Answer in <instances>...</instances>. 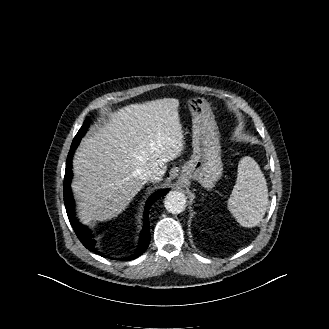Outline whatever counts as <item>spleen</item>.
<instances>
[{
    "instance_id": "spleen-1",
    "label": "spleen",
    "mask_w": 329,
    "mask_h": 329,
    "mask_svg": "<svg viewBox=\"0 0 329 329\" xmlns=\"http://www.w3.org/2000/svg\"><path fill=\"white\" fill-rule=\"evenodd\" d=\"M237 172L227 208L241 226L254 227L262 220L269 204L266 179L257 162L249 156L239 161Z\"/></svg>"
}]
</instances>
